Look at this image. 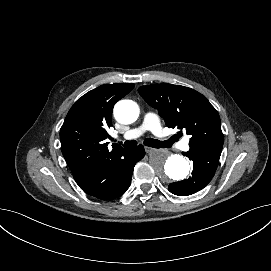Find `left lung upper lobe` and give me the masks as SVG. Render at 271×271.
Segmentation results:
<instances>
[{"label":"left lung upper lobe","instance_id":"5c2ea615","mask_svg":"<svg viewBox=\"0 0 271 271\" xmlns=\"http://www.w3.org/2000/svg\"><path fill=\"white\" fill-rule=\"evenodd\" d=\"M139 94L157 109L168 127H177L191 136L190 148L206 147L214 155H220L224 136L218 112L205 96L180 85L168 83L141 86Z\"/></svg>","mask_w":271,"mask_h":271}]
</instances>
